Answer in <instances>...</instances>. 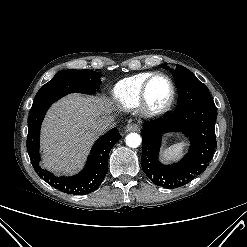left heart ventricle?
<instances>
[{
  "instance_id": "left-heart-ventricle-1",
  "label": "left heart ventricle",
  "mask_w": 247,
  "mask_h": 247,
  "mask_svg": "<svg viewBox=\"0 0 247 247\" xmlns=\"http://www.w3.org/2000/svg\"><path fill=\"white\" fill-rule=\"evenodd\" d=\"M171 88L168 81L162 77L156 78L148 90L149 101L153 106L159 107L167 102Z\"/></svg>"
}]
</instances>
